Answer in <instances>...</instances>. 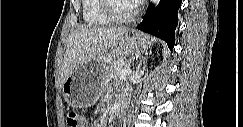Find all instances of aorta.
<instances>
[{
	"label": "aorta",
	"mask_w": 243,
	"mask_h": 127,
	"mask_svg": "<svg viewBox=\"0 0 243 127\" xmlns=\"http://www.w3.org/2000/svg\"><path fill=\"white\" fill-rule=\"evenodd\" d=\"M160 0H152L153 5L156 7L159 4Z\"/></svg>",
	"instance_id": "1"
}]
</instances>
